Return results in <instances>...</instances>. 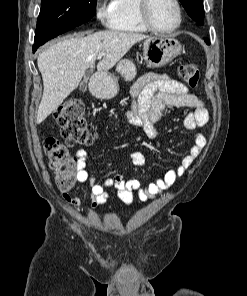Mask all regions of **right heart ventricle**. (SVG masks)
<instances>
[{"instance_id": "e07e8e85", "label": "right heart ventricle", "mask_w": 247, "mask_h": 296, "mask_svg": "<svg viewBox=\"0 0 247 296\" xmlns=\"http://www.w3.org/2000/svg\"><path fill=\"white\" fill-rule=\"evenodd\" d=\"M139 0H112L113 18L110 28L129 33H144L148 29L141 22L138 15Z\"/></svg>"}]
</instances>
